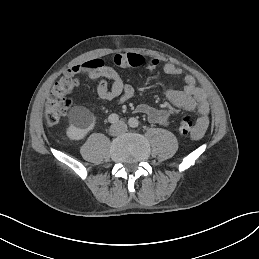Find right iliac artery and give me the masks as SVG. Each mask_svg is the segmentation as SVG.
<instances>
[{
	"mask_svg": "<svg viewBox=\"0 0 259 259\" xmlns=\"http://www.w3.org/2000/svg\"><path fill=\"white\" fill-rule=\"evenodd\" d=\"M119 120V116L117 114H111L109 117H108V121L110 123H117Z\"/></svg>",
	"mask_w": 259,
	"mask_h": 259,
	"instance_id": "obj_1",
	"label": "right iliac artery"
}]
</instances>
